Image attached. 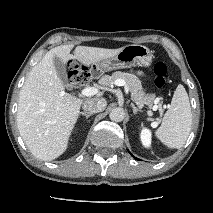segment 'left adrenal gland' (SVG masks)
I'll return each instance as SVG.
<instances>
[{"mask_svg":"<svg viewBox=\"0 0 213 213\" xmlns=\"http://www.w3.org/2000/svg\"><path fill=\"white\" fill-rule=\"evenodd\" d=\"M131 107L133 109L134 115H136L137 112H142V110L140 108H137L133 103H131Z\"/></svg>","mask_w":213,"mask_h":213,"instance_id":"a2214340","label":"left adrenal gland"}]
</instances>
